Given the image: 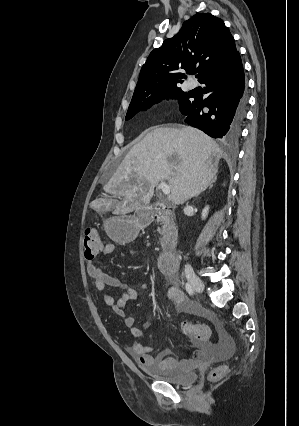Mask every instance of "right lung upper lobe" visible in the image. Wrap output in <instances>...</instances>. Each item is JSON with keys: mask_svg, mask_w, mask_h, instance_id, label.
Here are the masks:
<instances>
[{"mask_svg": "<svg viewBox=\"0 0 299 426\" xmlns=\"http://www.w3.org/2000/svg\"><path fill=\"white\" fill-rule=\"evenodd\" d=\"M238 52L228 28L210 13L195 14L179 33L154 49L142 66L131 101L176 87L197 66L201 81L228 64Z\"/></svg>", "mask_w": 299, "mask_h": 426, "instance_id": "1", "label": "right lung upper lobe"}]
</instances>
